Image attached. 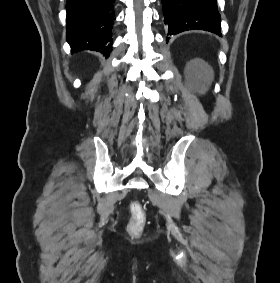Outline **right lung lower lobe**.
Here are the masks:
<instances>
[{
  "label": "right lung lower lobe",
  "instance_id": "1",
  "mask_svg": "<svg viewBox=\"0 0 280 283\" xmlns=\"http://www.w3.org/2000/svg\"><path fill=\"white\" fill-rule=\"evenodd\" d=\"M115 0H67L66 40L71 52L112 51Z\"/></svg>",
  "mask_w": 280,
  "mask_h": 283
}]
</instances>
